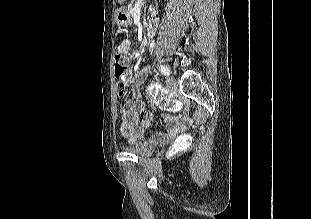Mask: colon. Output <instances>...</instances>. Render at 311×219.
<instances>
[{"instance_id": "1", "label": "colon", "mask_w": 311, "mask_h": 219, "mask_svg": "<svg viewBox=\"0 0 311 219\" xmlns=\"http://www.w3.org/2000/svg\"><path fill=\"white\" fill-rule=\"evenodd\" d=\"M129 65V60L127 57L123 55H118L115 57V76L117 79V86H118V94L119 96L124 95L126 91V73ZM161 105L164 108L168 109H175L176 104L174 102L168 101V100H162ZM192 141V136L190 134L179 138L178 140L175 141V143L172 146V150L174 152H179L181 151L184 147L189 145Z\"/></svg>"}]
</instances>
